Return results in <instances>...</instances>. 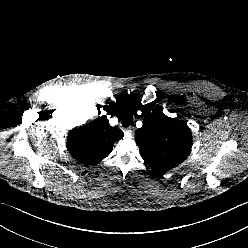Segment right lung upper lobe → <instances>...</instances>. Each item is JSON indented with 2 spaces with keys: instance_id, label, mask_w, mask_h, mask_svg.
<instances>
[{
  "instance_id": "cb5924a9",
  "label": "right lung upper lobe",
  "mask_w": 248,
  "mask_h": 248,
  "mask_svg": "<svg viewBox=\"0 0 248 248\" xmlns=\"http://www.w3.org/2000/svg\"><path fill=\"white\" fill-rule=\"evenodd\" d=\"M123 138V132L109 125L107 116L71 130L66 147L73 158L85 165H96L107 157L115 141Z\"/></svg>"
}]
</instances>
